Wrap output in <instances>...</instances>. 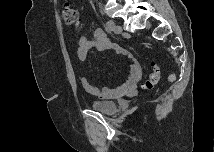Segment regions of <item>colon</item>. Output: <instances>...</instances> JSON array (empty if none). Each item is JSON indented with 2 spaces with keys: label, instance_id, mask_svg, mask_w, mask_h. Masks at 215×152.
Instances as JSON below:
<instances>
[{
  "label": "colon",
  "instance_id": "5ec220e1",
  "mask_svg": "<svg viewBox=\"0 0 215 152\" xmlns=\"http://www.w3.org/2000/svg\"><path fill=\"white\" fill-rule=\"evenodd\" d=\"M62 15H63V20L66 25L68 26H73L77 23L78 21V13L75 8H73L71 5H64L63 10H62ZM160 79V68L158 65H153L151 72L144 82V89L150 90L152 89L159 81ZM175 80V74L171 73L168 76V82H173Z\"/></svg>",
  "mask_w": 215,
  "mask_h": 152
}]
</instances>
